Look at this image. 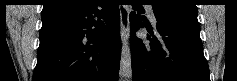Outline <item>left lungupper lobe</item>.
<instances>
[{
    "label": "left lung upper lobe",
    "instance_id": "1",
    "mask_svg": "<svg viewBox=\"0 0 237 81\" xmlns=\"http://www.w3.org/2000/svg\"><path fill=\"white\" fill-rule=\"evenodd\" d=\"M153 9L161 15H181L197 18L194 0H151Z\"/></svg>",
    "mask_w": 237,
    "mask_h": 81
}]
</instances>
